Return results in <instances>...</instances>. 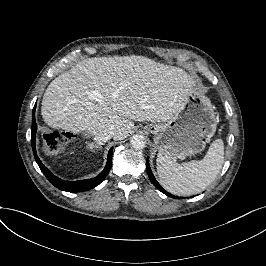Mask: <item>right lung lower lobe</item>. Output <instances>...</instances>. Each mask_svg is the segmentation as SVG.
<instances>
[{
    "label": "right lung lower lobe",
    "mask_w": 266,
    "mask_h": 266,
    "mask_svg": "<svg viewBox=\"0 0 266 266\" xmlns=\"http://www.w3.org/2000/svg\"><path fill=\"white\" fill-rule=\"evenodd\" d=\"M35 109L36 104L32 110V138H31V145L33 149L34 158L40 167L41 171L44 173V175L47 177V179L57 188L63 191L67 192H84L91 190L92 188L99 185L104 178L107 176L111 165H112V153L113 148L109 150L108 158H107V164L104 168V170L97 176L91 179L86 180H80V181H63L62 179L54 176L40 161L37 153H36V131H37V125L35 121Z\"/></svg>",
    "instance_id": "1"
}]
</instances>
